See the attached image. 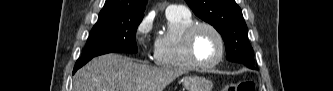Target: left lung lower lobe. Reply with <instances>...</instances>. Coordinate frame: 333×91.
I'll list each match as a JSON object with an SVG mask.
<instances>
[{"mask_svg": "<svg viewBox=\"0 0 333 91\" xmlns=\"http://www.w3.org/2000/svg\"><path fill=\"white\" fill-rule=\"evenodd\" d=\"M249 68H254L253 65H251Z\"/></svg>", "mask_w": 333, "mask_h": 91, "instance_id": "0a47b994", "label": "left lung lower lobe"}]
</instances>
